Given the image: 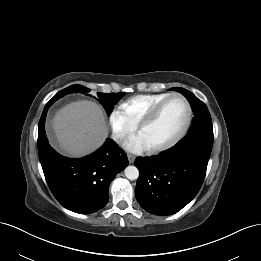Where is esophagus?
<instances>
[{"instance_id": "obj_1", "label": "esophagus", "mask_w": 261, "mask_h": 261, "mask_svg": "<svg viewBox=\"0 0 261 261\" xmlns=\"http://www.w3.org/2000/svg\"><path fill=\"white\" fill-rule=\"evenodd\" d=\"M127 157H128L129 163H131V164L134 163V161H135V156L129 154Z\"/></svg>"}]
</instances>
